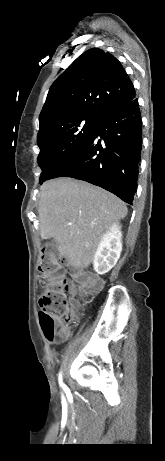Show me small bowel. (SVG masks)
<instances>
[{"mask_svg":"<svg viewBox=\"0 0 165 461\" xmlns=\"http://www.w3.org/2000/svg\"><path fill=\"white\" fill-rule=\"evenodd\" d=\"M71 268L73 270H77L79 268V265L77 263H73L71 265ZM88 279L93 280L99 284V288L103 285V280L97 277L94 274H90L89 276L87 274H82L81 275V280L83 282H86ZM76 292V286L74 283L69 282V291H67L64 294V299L66 301H71L73 299V294ZM69 306L71 305L70 303L68 304ZM73 319V314L72 313H63L61 317V322L62 324H71ZM62 331L64 333V336L59 340V341H65L70 335V330L66 327L62 328Z\"/></svg>","mask_w":165,"mask_h":461,"instance_id":"obj_1","label":"small bowel"}]
</instances>
